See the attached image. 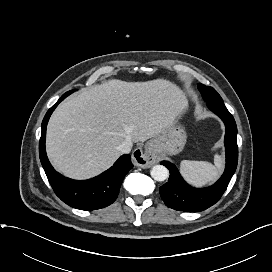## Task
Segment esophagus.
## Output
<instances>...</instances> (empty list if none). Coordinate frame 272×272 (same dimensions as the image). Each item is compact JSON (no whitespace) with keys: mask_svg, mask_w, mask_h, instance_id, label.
I'll return each instance as SVG.
<instances>
[{"mask_svg":"<svg viewBox=\"0 0 272 272\" xmlns=\"http://www.w3.org/2000/svg\"><path fill=\"white\" fill-rule=\"evenodd\" d=\"M132 159L135 166L140 168H149L158 161V158L150 145H146L144 149H136L132 154Z\"/></svg>","mask_w":272,"mask_h":272,"instance_id":"obj_1","label":"esophagus"}]
</instances>
